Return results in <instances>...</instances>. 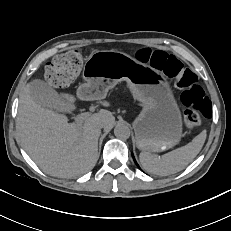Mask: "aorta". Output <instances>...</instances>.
<instances>
[{
    "instance_id": "aorta-1",
    "label": "aorta",
    "mask_w": 231,
    "mask_h": 231,
    "mask_svg": "<svg viewBox=\"0 0 231 231\" xmlns=\"http://www.w3.org/2000/svg\"><path fill=\"white\" fill-rule=\"evenodd\" d=\"M114 134L119 139H128L130 137V129L125 124H118L114 129Z\"/></svg>"
}]
</instances>
